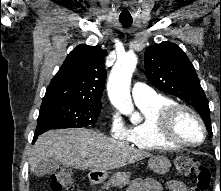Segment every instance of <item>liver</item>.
I'll return each instance as SVG.
<instances>
[{"label":"liver","instance_id":"obj_1","mask_svg":"<svg viewBox=\"0 0 221 191\" xmlns=\"http://www.w3.org/2000/svg\"><path fill=\"white\" fill-rule=\"evenodd\" d=\"M151 154L86 128L50 130L38 137L29 159L31 171L45 159L65 166L106 172L150 157Z\"/></svg>","mask_w":221,"mask_h":191}]
</instances>
